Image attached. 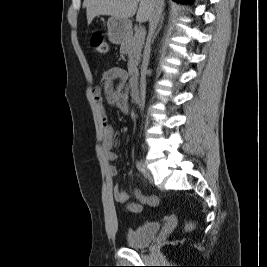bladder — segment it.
Segmentation results:
<instances>
[{"label": "bladder", "instance_id": "bladder-1", "mask_svg": "<svg viewBox=\"0 0 267 267\" xmlns=\"http://www.w3.org/2000/svg\"><path fill=\"white\" fill-rule=\"evenodd\" d=\"M160 224L155 222L145 223L137 228L128 230L126 234L127 246L140 249L148 246L158 235Z\"/></svg>", "mask_w": 267, "mask_h": 267}]
</instances>
